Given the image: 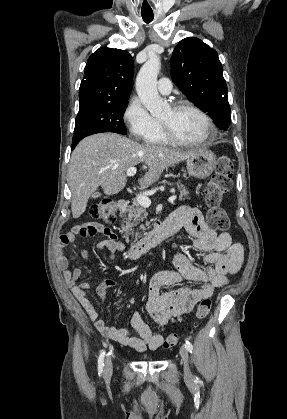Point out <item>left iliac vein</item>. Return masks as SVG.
Segmentation results:
<instances>
[{
	"instance_id": "1",
	"label": "left iliac vein",
	"mask_w": 287,
	"mask_h": 419,
	"mask_svg": "<svg viewBox=\"0 0 287 419\" xmlns=\"http://www.w3.org/2000/svg\"><path fill=\"white\" fill-rule=\"evenodd\" d=\"M180 355L184 363V375L186 379H192V373L190 371L189 367V354L187 351V348L185 346H182L180 348Z\"/></svg>"
}]
</instances>
